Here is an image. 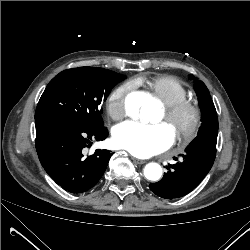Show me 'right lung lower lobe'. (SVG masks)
Instances as JSON below:
<instances>
[{
  "mask_svg": "<svg viewBox=\"0 0 250 250\" xmlns=\"http://www.w3.org/2000/svg\"><path fill=\"white\" fill-rule=\"evenodd\" d=\"M35 125L39 160L58 185L69 192L81 193L97 184L113 153L97 149L93 155L84 156V148L92 140L105 139L108 135L105 127L47 119L36 120Z\"/></svg>",
  "mask_w": 250,
  "mask_h": 250,
  "instance_id": "obj_1",
  "label": "right lung lower lobe"
}]
</instances>
